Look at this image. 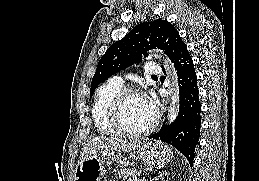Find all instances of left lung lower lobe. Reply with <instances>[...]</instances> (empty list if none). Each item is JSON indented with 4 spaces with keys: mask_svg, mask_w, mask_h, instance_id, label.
Instances as JSON below:
<instances>
[{
    "mask_svg": "<svg viewBox=\"0 0 259 181\" xmlns=\"http://www.w3.org/2000/svg\"><path fill=\"white\" fill-rule=\"evenodd\" d=\"M168 57L174 63L178 74L180 110L175 122L169 126L163 125L152 138L171 144L192 166L201 123L197 76L193 60L181 38L172 47Z\"/></svg>",
    "mask_w": 259,
    "mask_h": 181,
    "instance_id": "obj_1",
    "label": "left lung lower lobe"
}]
</instances>
